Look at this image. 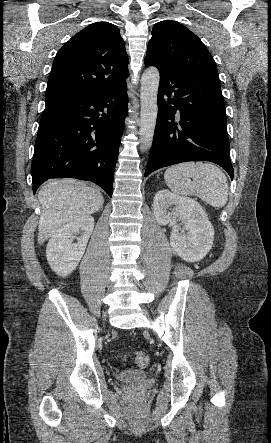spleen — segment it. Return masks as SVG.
Returning <instances> with one entry per match:
<instances>
[{
  "mask_svg": "<svg viewBox=\"0 0 271 443\" xmlns=\"http://www.w3.org/2000/svg\"><path fill=\"white\" fill-rule=\"evenodd\" d=\"M192 178L193 182H190ZM164 180L176 196H197L213 208H223L228 200V182L222 170L212 164L184 162L168 168Z\"/></svg>",
  "mask_w": 271,
  "mask_h": 443,
  "instance_id": "3e777b00",
  "label": "spleen"
}]
</instances>
